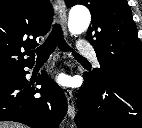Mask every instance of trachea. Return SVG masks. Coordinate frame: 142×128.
Instances as JSON below:
<instances>
[{"label":"trachea","mask_w":142,"mask_h":128,"mask_svg":"<svg viewBox=\"0 0 142 128\" xmlns=\"http://www.w3.org/2000/svg\"><path fill=\"white\" fill-rule=\"evenodd\" d=\"M57 45L62 51H71L76 58L85 59L77 52L72 50L69 47V45L65 42L61 26L57 23L54 24L52 32L45 41V43H43L40 47L36 49L37 58L39 59L48 58L49 55L55 50Z\"/></svg>","instance_id":"trachea-1"}]
</instances>
